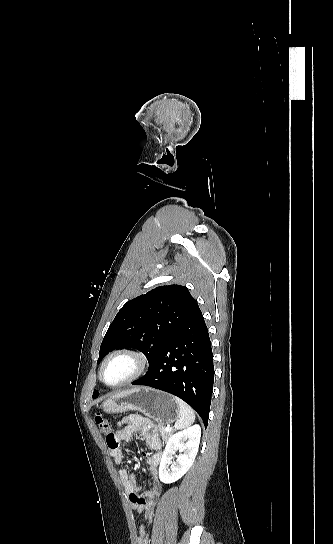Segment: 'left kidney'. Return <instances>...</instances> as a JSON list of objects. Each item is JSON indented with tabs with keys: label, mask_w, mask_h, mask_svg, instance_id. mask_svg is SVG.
I'll return each instance as SVG.
<instances>
[{
	"label": "left kidney",
	"mask_w": 333,
	"mask_h": 544,
	"mask_svg": "<svg viewBox=\"0 0 333 544\" xmlns=\"http://www.w3.org/2000/svg\"><path fill=\"white\" fill-rule=\"evenodd\" d=\"M201 428L193 425L170 436L162 454L159 466V478L163 483H173L180 479L192 466L198 452ZM179 450L176 462L172 458ZM171 467L169 468V465Z\"/></svg>",
	"instance_id": "left-kidney-1"
}]
</instances>
